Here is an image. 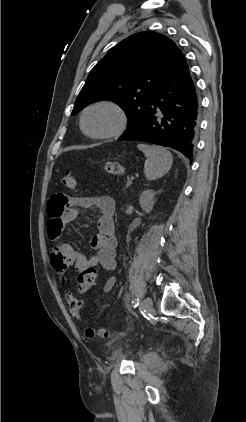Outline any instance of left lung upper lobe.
<instances>
[{"label":"left lung upper lobe","instance_id":"obj_1","mask_svg":"<svg viewBox=\"0 0 246 422\" xmlns=\"http://www.w3.org/2000/svg\"><path fill=\"white\" fill-rule=\"evenodd\" d=\"M182 55L163 34L145 31L129 36L93 67L72 115L90 103L111 100L126 112L128 132L142 121L155 91L174 71Z\"/></svg>","mask_w":246,"mask_h":422}]
</instances>
